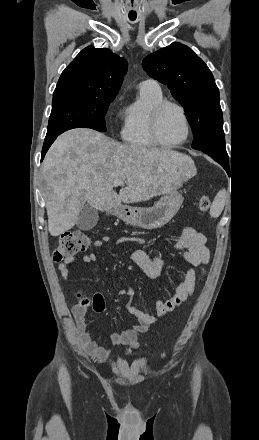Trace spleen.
I'll return each instance as SVG.
<instances>
[{
	"instance_id": "spleen-1",
	"label": "spleen",
	"mask_w": 259,
	"mask_h": 440,
	"mask_svg": "<svg viewBox=\"0 0 259 440\" xmlns=\"http://www.w3.org/2000/svg\"><path fill=\"white\" fill-rule=\"evenodd\" d=\"M227 197H228L227 192L224 189L220 190L217 193L210 208V215L212 217L214 218L219 217V215L222 213L224 209V204Z\"/></svg>"
}]
</instances>
